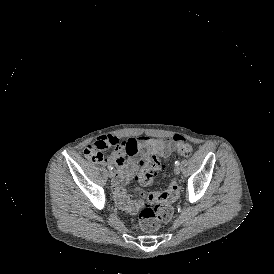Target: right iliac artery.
Listing matches in <instances>:
<instances>
[{
	"mask_svg": "<svg viewBox=\"0 0 274 274\" xmlns=\"http://www.w3.org/2000/svg\"><path fill=\"white\" fill-rule=\"evenodd\" d=\"M108 169H109V170H112V169H113V167H112L111 165H109V166H108Z\"/></svg>",
	"mask_w": 274,
	"mask_h": 274,
	"instance_id": "obj_1",
	"label": "right iliac artery"
}]
</instances>
